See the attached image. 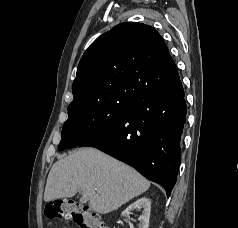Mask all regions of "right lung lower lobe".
<instances>
[{
  "label": "right lung lower lobe",
  "instance_id": "1",
  "mask_svg": "<svg viewBox=\"0 0 238 228\" xmlns=\"http://www.w3.org/2000/svg\"><path fill=\"white\" fill-rule=\"evenodd\" d=\"M186 122L181 81L133 99L120 119L79 147L97 148L164 187L169 196L180 165Z\"/></svg>",
  "mask_w": 238,
  "mask_h": 228
}]
</instances>
